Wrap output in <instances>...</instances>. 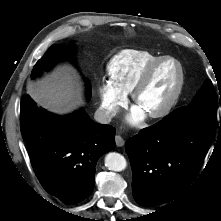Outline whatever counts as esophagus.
Wrapping results in <instances>:
<instances>
[{
	"label": "esophagus",
	"mask_w": 221,
	"mask_h": 221,
	"mask_svg": "<svg viewBox=\"0 0 221 221\" xmlns=\"http://www.w3.org/2000/svg\"><path fill=\"white\" fill-rule=\"evenodd\" d=\"M115 143L118 147H122L125 144V141L120 135H116L115 136Z\"/></svg>",
	"instance_id": "esophagus-1"
}]
</instances>
